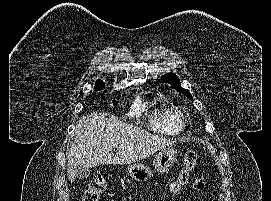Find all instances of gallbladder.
Instances as JSON below:
<instances>
[{"mask_svg": "<svg viewBox=\"0 0 271 201\" xmlns=\"http://www.w3.org/2000/svg\"><path fill=\"white\" fill-rule=\"evenodd\" d=\"M90 175V169L78 166L75 172V177L78 179H85Z\"/></svg>", "mask_w": 271, "mask_h": 201, "instance_id": "bac80fb5", "label": "gallbladder"}]
</instances>
